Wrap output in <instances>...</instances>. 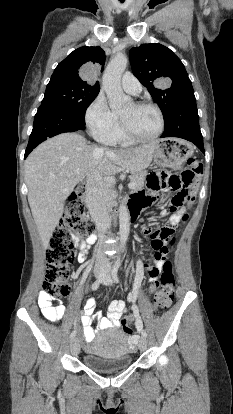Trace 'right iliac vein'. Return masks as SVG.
Instances as JSON below:
<instances>
[{"label":"right iliac vein","instance_id":"63e3f726","mask_svg":"<svg viewBox=\"0 0 233 414\" xmlns=\"http://www.w3.org/2000/svg\"><path fill=\"white\" fill-rule=\"evenodd\" d=\"M103 275V270L102 269H97L95 270V277L96 278H100ZM70 349H71V353L73 355H77L80 351V345L79 342L76 338L72 339L71 344H70Z\"/></svg>","mask_w":233,"mask_h":414}]
</instances>
